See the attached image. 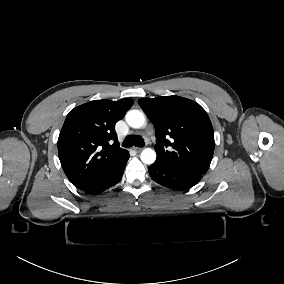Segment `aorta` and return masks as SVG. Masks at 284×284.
Returning <instances> with one entry per match:
<instances>
[{"label": "aorta", "mask_w": 284, "mask_h": 284, "mask_svg": "<svg viewBox=\"0 0 284 284\" xmlns=\"http://www.w3.org/2000/svg\"><path fill=\"white\" fill-rule=\"evenodd\" d=\"M125 119L127 124L132 128L139 129L145 124V116L139 110L128 111ZM140 158L144 164H153L156 160V152L151 148H145L142 150Z\"/></svg>", "instance_id": "762f6f07"}]
</instances>
